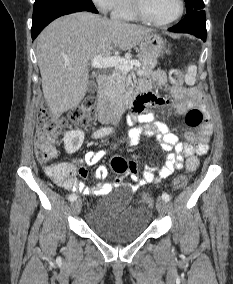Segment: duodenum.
<instances>
[{
  "label": "duodenum",
  "mask_w": 233,
  "mask_h": 284,
  "mask_svg": "<svg viewBox=\"0 0 233 284\" xmlns=\"http://www.w3.org/2000/svg\"><path fill=\"white\" fill-rule=\"evenodd\" d=\"M109 83V78L105 74H101L97 77L98 84V106L96 117L104 124H116L128 106H131L137 102L141 93H138L129 102V105H114L109 103L105 98V91ZM141 91V90H140Z\"/></svg>",
  "instance_id": "410a0bca"
}]
</instances>
